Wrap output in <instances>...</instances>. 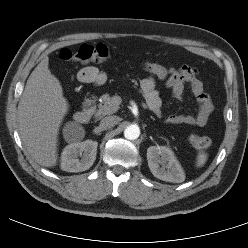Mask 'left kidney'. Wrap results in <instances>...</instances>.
Instances as JSON below:
<instances>
[{
	"instance_id": "1",
	"label": "left kidney",
	"mask_w": 248,
	"mask_h": 248,
	"mask_svg": "<svg viewBox=\"0 0 248 248\" xmlns=\"http://www.w3.org/2000/svg\"><path fill=\"white\" fill-rule=\"evenodd\" d=\"M148 166L158 179L181 183L185 180L184 171L173 151L166 146H151L147 149Z\"/></svg>"
}]
</instances>
